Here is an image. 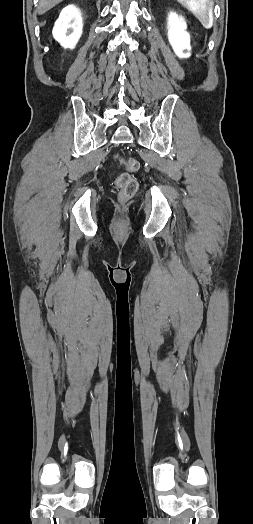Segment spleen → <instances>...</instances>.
Segmentation results:
<instances>
[{
  "label": "spleen",
  "mask_w": 253,
  "mask_h": 524,
  "mask_svg": "<svg viewBox=\"0 0 253 524\" xmlns=\"http://www.w3.org/2000/svg\"><path fill=\"white\" fill-rule=\"evenodd\" d=\"M200 21L204 28L210 29L213 25V17L210 13L209 0H177Z\"/></svg>",
  "instance_id": "3e777b00"
}]
</instances>
